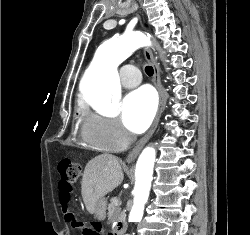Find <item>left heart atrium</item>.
<instances>
[{
	"mask_svg": "<svg viewBox=\"0 0 250 235\" xmlns=\"http://www.w3.org/2000/svg\"><path fill=\"white\" fill-rule=\"evenodd\" d=\"M157 107V99L149 87L129 93L122 102V120L133 133H142L150 125Z\"/></svg>",
	"mask_w": 250,
	"mask_h": 235,
	"instance_id": "left-heart-atrium-1",
	"label": "left heart atrium"
}]
</instances>
